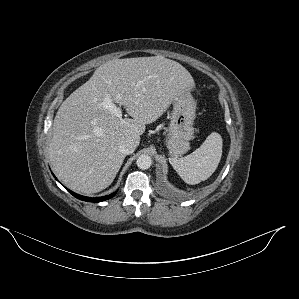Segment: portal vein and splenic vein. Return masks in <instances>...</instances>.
I'll use <instances>...</instances> for the list:
<instances>
[{
	"instance_id": "18ae733b",
	"label": "portal vein and splenic vein",
	"mask_w": 299,
	"mask_h": 299,
	"mask_svg": "<svg viewBox=\"0 0 299 299\" xmlns=\"http://www.w3.org/2000/svg\"><path fill=\"white\" fill-rule=\"evenodd\" d=\"M103 108L111 111L116 117L121 118L122 117V110L121 108L117 107L115 104H113L112 99L110 98V96H107L103 103Z\"/></svg>"
}]
</instances>
